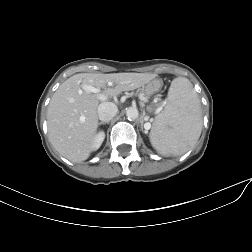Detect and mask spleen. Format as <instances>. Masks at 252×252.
<instances>
[{
	"instance_id": "spleen-1",
	"label": "spleen",
	"mask_w": 252,
	"mask_h": 252,
	"mask_svg": "<svg viewBox=\"0 0 252 252\" xmlns=\"http://www.w3.org/2000/svg\"><path fill=\"white\" fill-rule=\"evenodd\" d=\"M202 125L201 103L192 83L187 78H175L167 104L151 128V144L163 156L182 155L198 141Z\"/></svg>"
}]
</instances>
